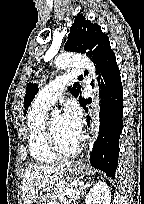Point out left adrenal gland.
<instances>
[{
	"mask_svg": "<svg viewBox=\"0 0 144 204\" xmlns=\"http://www.w3.org/2000/svg\"><path fill=\"white\" fill-rule=\"evenodd\" d=\"M90 185H92V182L86 184V185L83 186V187H80V188H79V191H78V193H77V195H76V197H75V200L80 199V197L84 194V191H85ZM75 200H74V203H75Z\"/></svg>",
	"mask_w": 144,
	"mask_h": 204,
	"instance_id": "left-adrenal-gland-1",
	"label": "left adrenal gland"
}]
</instances>
